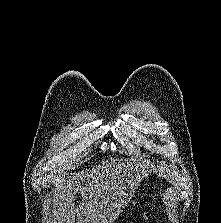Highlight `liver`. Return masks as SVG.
<instances>
[{"label": "liver", "mask_w": 221, "mask_h": 223, "mask_svg": "<svg viewBox=\"0 0 221 223\" xmlns=\"http://www.w3.org/2000/svg\"><path fill=\"white\" fill-rule=\"evenodd\" d=\"M141 177L131 161L103 162L64 180L54 200L53 223H113L132 198ZM82 203L75 208V194Z\"/></svg>", "instance_id": "6515ba94"}]
</instances>
